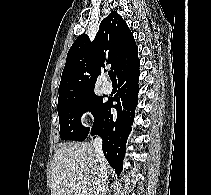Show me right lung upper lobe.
<instances>
[{"label": "right lung upper lobe", "instance_id": "1", "mask_svg": "<svg viewBox=\"0 0 211 195\" xmlns=\"http://www.w3.org/2000/svg\"><path fill=\"white\" fill-rule=\"evenodd\" d=\"M105 62L111 64L117 77L139 63L133 34L115 11L102 20L92 42L82 34L71 46L58 89V104L94 92Z\"/></svg>", "mask_w": 211, "mask_h": 195}]
</instances>
